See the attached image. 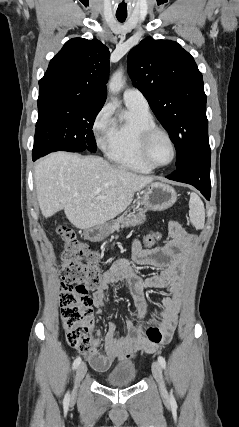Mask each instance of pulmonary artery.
<instances>
[{"mask_svg":"<svg viewBox=\"0 0 239 427\" xmlns=\"http://www.w3.org/2000/svg\"><path fill=\"white\" fill-rule=\"evenodd\" d=\"M123 100L127 106H134L143 110H149L147 99L138 89H126L123 93Z\"/></svg>","mask_w":239,"mask_h":427,"instance_id":"e3ab8cb5","label":"pulmonary artery"}]
</instances>
